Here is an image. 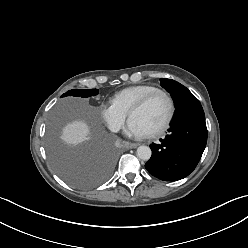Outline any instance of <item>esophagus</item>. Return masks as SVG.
I'll list each match as a JSON object with an SVG mask.
<instances>
[{"mask_svg": "<svg viewBox=\"0 0 248 248\" xmlns=\"http://www.w3.org/2000/svg\"><path fill=\"white\" fill-rule=\"evenodd\" d=\"M124 146L126 147V149H133V148H136L138 146V144L130 143V142H124Z\"/></svg>", "mask_w": 248, "mask_h": 248, "instance_id": "obj_1", "label": "esophagus"}]
</instances>
